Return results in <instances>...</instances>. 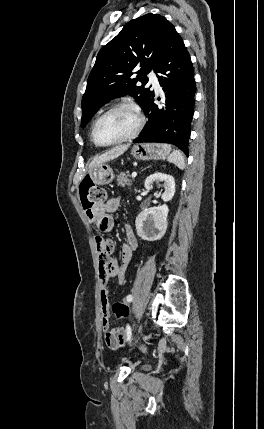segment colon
<instances>
[{"label":"colon","mask_w":264,"mask_h":429,"mask_svg":"<svg viewBox=\"0 0 264 429\" xmlns=\"http://www.w3.org/2000/svg\"><path fill=\"white\" fill-rule=\"evenodd\" d=\"M80 200L84 210L90 214L94 212L99 204L105 201V191L95 185L90 178L84 179L79 187ZM112 312L117 318L126 319L129 315V307L121 301H116L112 305ZM119 339L121 346L125 343V335L120 332Z\"/></svg>","instance_id":"5ec220e1"}]
</instances>
